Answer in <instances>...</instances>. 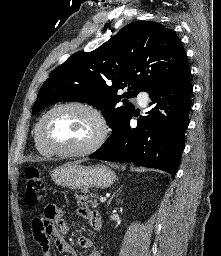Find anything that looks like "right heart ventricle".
<instances>
[{
	"label": "right heart ventricle",
	"instance_id": "right-heart-ventricle-1",
	"mask_svg": "<svg viewBox=\"0 0 221 256\" xmlns=\"http://www.w3.org/2000/svg\"><path fill=\"white\" fill-rule=\"evenodd\" d=\"M34 143H35V147L36 149L38 150V152L44 156H51L52 153L47 151L46 149H44L43 147L40 146V144L38 143L37 141V138H36V134H34Z\"/></svg>",
	"mask_w": 221,
	"mask_h": 256
}]
</instances>
